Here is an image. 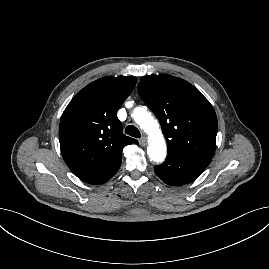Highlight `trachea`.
<instances>
[{
    "label": "trachea",
    "instance_id": "trachea-1",
    "mask_svg": "<svg viewBox=\"0 0 269 269\" xmlns=\"http://www.w3.org/2000/svg\"><path fill=\"white\" fill-rule=\"evenodd\" d=\"M125 133L135 138H140L141 136L140 131L134 125H128L125 128Z\"/></svg>",
    "mask_w": 269,
    "mask_h": 269
}]
</instances>
